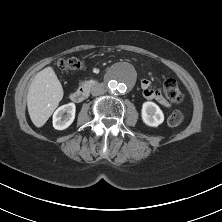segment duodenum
I'll return each mask as SVG.
<instances>
[{"instance_id": "410a0bca", "label": "duodenum", "mask_w": 222, "mask_h": 222, "mask_svg": "<svg viewBox=\"0 0 222 222\" xmlns=\"http://www.w3.org/2000/svg\"><path fill=\"white\" fill-rule=\"evenodd\" d=\"M97 85V81L92 79L83 84L80 88L76 89L74 92L71 93L70 98L73 102L80 103L84 101L91 89Z\"/></svg>"}]
</instances>
